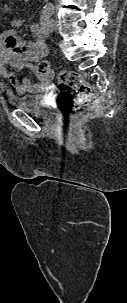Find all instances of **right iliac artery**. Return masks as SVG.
<instances>
[{
	"instance_id": "1",
	"label": "right iliac artery",
	"mask_w": 127,
	"mask_h": 303,
	"mask_svg": "<svg viewBox=\"0 0 127 303\" xmlns=\"http://www.w3.org/2000/svg\"><path fill=\"white\" fill-rule=\"evenodd\" d=\"M40 24H41L44 36L48 37L50 35V32H51L50 15H45V16L41 15Z\"/></svg>"
}]
</instances>
